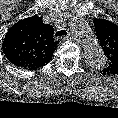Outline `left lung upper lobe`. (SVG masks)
<instances>
[{"label": "left lung upper lobe", "instance_id": "5c2ea615", "mask_svg": "<svg viewBox=\"0 0 118 118\" xmlns=\"http://www.w3.org/2000/svg\"><path fill=\"white\" fill-rule=\"evenodd\" d=\"M98 41L106 56V64L101 73L118 74V26L105 19H94Z\"/></svg>", "mask_w": 118, "mask_h": 118}]
</instances>
